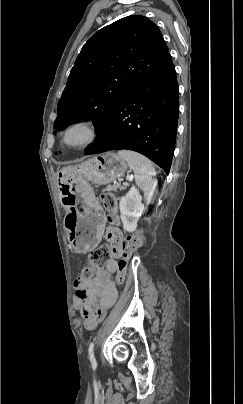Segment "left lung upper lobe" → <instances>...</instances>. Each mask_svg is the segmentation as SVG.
Listing matches in <instances>:
<instances>
[{"instance_id": "5c2ea615", "label": "left lung upper lobe", "mask_w": 243, "mask_h": 404, "mask_svg": "<svg viewBox=\"0 0 243 404\" xmlns=\"http://www.w3.org/2000/svg\"><path fill=\"white\" fill-rule=\"evenodd\" d=\"M169 55L159 28L145 16H128L102 28L75 61L54 128L60 131L92 120L98 131L127 94Z\"/></svg>"}]
</instances>
